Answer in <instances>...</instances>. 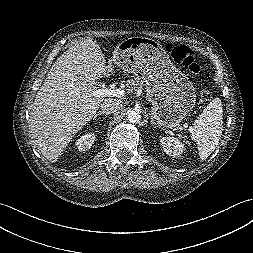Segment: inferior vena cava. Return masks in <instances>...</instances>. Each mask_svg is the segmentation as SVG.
Returning <instances> with one entry per match:
<instances>
[{
	"label": "inferior vena cava",
	"mask_w": 253,
	"mask_h": 253,
	"mask_svg": "<svg viewBox=\"0 0 253 253\" xmlns=\"http://www.w3.org/2000/svg\"><path fill=\"white\" fill-rule=\"evenodd\" d=\"M122 107V101L117 99H107L101 105V110L105 114L116 113Z\"/></svg>",
	"instance_id": "602c4592"
}]
</instances>
